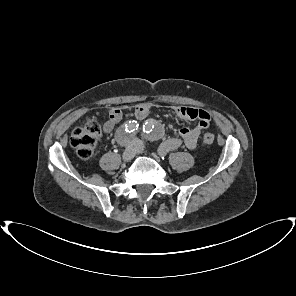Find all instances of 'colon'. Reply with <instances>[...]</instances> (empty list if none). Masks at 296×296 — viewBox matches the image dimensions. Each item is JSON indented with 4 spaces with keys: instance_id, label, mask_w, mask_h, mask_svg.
Here are the masks:
<instances>
[{
    "instance_id": "1",
    "label": "colon",
    "mask_w": 296,
    "mask_h": 296,
    "mask_svg": "<svg viewBox=\"0 0 296 296\" xmlns=\"http://www.w3.org/2000/svg\"><path fill=\"white\" fill-rule=\"evenodd\" d=\"M100 135V127L95 121H88L83 126L73 130L70 136V145L77 155L83 159H90L95 151ZM215 137L212 133H206L202 138L203 146L214 143Z\"/></svg>"
}]
</instances>
